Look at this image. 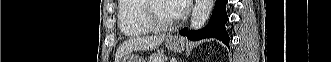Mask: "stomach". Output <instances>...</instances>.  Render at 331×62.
I'll return each instance as SVG.
<instances>
[{"label":"stomach","instance_id":"stomach-1","mask_svg":"<svg viewBox=\"0 0 331 62\" xmlns=\"http://www.w3.org/2000/svg\"><path fill=\"white\" fill-rule=\"evenodd\" d=\"M166 47L174 52H180L184 49V42L178 37H171L166 40ZM120 62H145L144 59L136 55L124 57Z\"/></svg>","mask_w":331,"mask_h":62}]
</instances>
